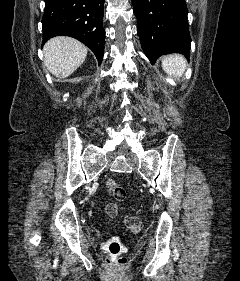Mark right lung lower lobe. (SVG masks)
<instances>
[{"label": "right lung lower lobe", "instance_id": "98d812e1", "mask_svg": "<svg viewBox=\"0 0 240 281\" xmlns=\"http://www.w3.org/2000/svg\"><path fill=\"white\" fill-rule=\"evenodd\" d=\"M104 2L105 0H45L42 45L55 36L74 37L88 46L101 63L104 55Z\"/></svg>", "mask_w": 240, "mask_h": 281}]
</instances>
